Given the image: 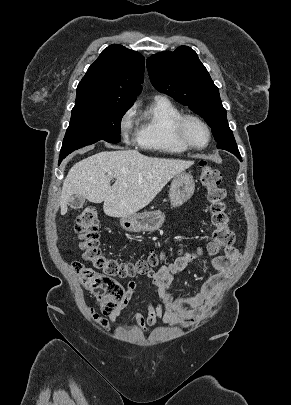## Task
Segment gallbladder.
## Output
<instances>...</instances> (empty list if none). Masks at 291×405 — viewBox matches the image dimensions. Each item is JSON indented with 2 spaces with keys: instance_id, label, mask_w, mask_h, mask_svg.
I'll return each instance as SVG.
<instances>
[{
  "instance_id": "obj_1",
  "label": "gallbladder",
  "mask_w": 291,
  "mask_h": 405,
  "mask_svg": "<svg viewBox=\"0 0 291 405\" xmlns=\"http://www.w3.org/2000/svg\"><path fill=\"white\" fill-rule=\"evenodd\" d=\"M85 199L79 196H73V198L69 201V206L72 209H80L83 207Z\"/></svg>"
}]
</instances>
